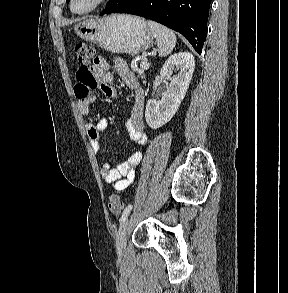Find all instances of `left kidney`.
Returning <instances> with one entry per match:
<instances>
[{
    "mask_svg": "<svg viewBox=\"0 0 288 293\" xmlns=\"http://www.w3.org/2000/svg\"><path fill=\"white\" fill-rule=\"evenodd\" d=\"M194 67V57L188 52H179L167 59L160 75L170 83L159 101L150 99L147 102L145 118L149 127L157 129L175 115L189 87ZM173 72L177 74L172 75Z\"/></svg>",
    "mask_w": 288,
    "mask_h": 293,
    "instance_id": "5707ae66",
    "label": "left kidney"
}]
</instances>
